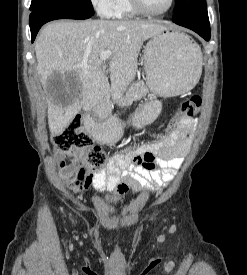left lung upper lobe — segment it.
Listing matches in <instances>:
<instances>
[{
	"label": "left lung upper lobe",
	"instance_id": "5c2ea615",
	"mask_svg": "<svg viewBox=\"0 0 247 275\" xmlns=\"http://www.w3.org/2000/svg\"><path fill=\"white\" fill-rule=\"evenodd\" d=\"M207 17L206 0H175L172 21H186Z\"/></svg>",
	"mask_w": 247,
	"mask_h": 275
}]
</instances>
